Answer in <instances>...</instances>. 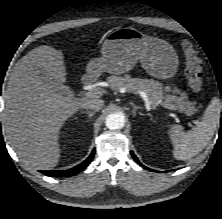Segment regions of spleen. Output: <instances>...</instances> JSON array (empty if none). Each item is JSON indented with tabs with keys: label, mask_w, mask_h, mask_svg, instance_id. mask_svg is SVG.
<instances>
[{
	"label": "spleen",
	"mask_w": 222,
	"mask_h": 219,
	"mask_svg": "<svg viewBox=\"0 0 222 219\" xmlns=\"http://www.w3.org/2000/svg\"><path fill=\"white\" fill-rule=\"evenodd\" d=\"M222 102L214 97L207 106L201 122L188 132L183 131L180 125H172L169 129L174 146V157L178 160H187L198 153L209 143L214 135L220 120Z\"/></svg>",
	"instance_id": "1"
}]
</instances>
